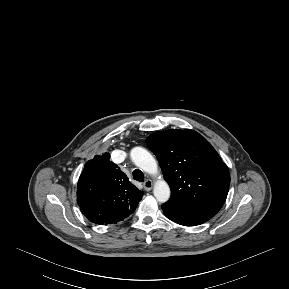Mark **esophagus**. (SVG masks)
Here are the masks:
<instances>
[{"mask_svg": "<svg viewBox=\"0 0 289 289\" xmlns=\"http://www.w3.org/2000/svg\"><path fill=\"white\" fill-rule=\"evenodd\" d=\"M144 188L146 191H150L153 187V182L150 179H147L144 184H143Z\"/></svg>", "mask_w": 289, "mask_h": 289, "instance_id": "1", "label": "esophagus"}]
</instances>
